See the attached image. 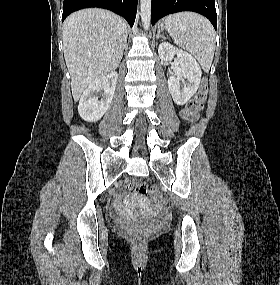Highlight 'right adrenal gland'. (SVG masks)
I'll use <instances>...</instances> for the list:
<instances>
[{"label":"right adrenal gland","instance_id":"obj_1","mask_svg":"<svg viewBox=\"0 0 280 285\" xmlns=\"http://www.w3.org/2000/svg\"><path fill=\"white\" fill-rule=\"evenodd\" d=\"M127 49V39L125 40L124 46H123V50Z\"/></svg>","mask_w":280,"mask_h":285}]
</instances>
